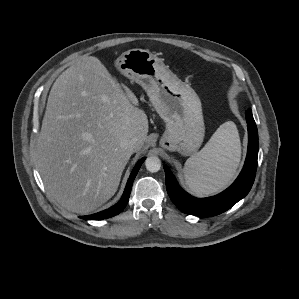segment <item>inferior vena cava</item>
<instances>
[{"instance_id": "602c4592", "label": "inferior vena cava", "mask_w": 299, "mask_h": 299, "mask_svg": "<svg viewBox=\"0 0 299 299\" xmlns=\"http://www.w3.org/2000/svg\"><path fill=\"white\" fill-rule=\"evenodd\" d=\"M120 147L126 152L133 153L135 151L136 141L134 139L124 140L120 143Z\"/></svg>"}]
</instances>
